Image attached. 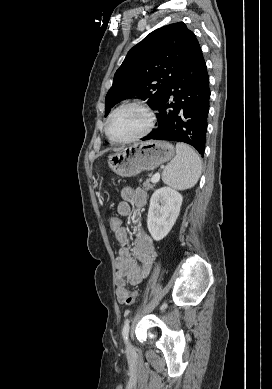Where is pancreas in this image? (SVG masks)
Instances as JSON below:
<instances>
[{"label":"pancreas","mask_w":272,"mask_h":389,"mask_svg":"<svg viewBox=\"0 0 272 389\" xmlns=\"http://www.w3.org/2000/svg\"><path fill=\"white\" fill-rule=\"evenodd\" d=\"M151 174H149V179L143 184V187H145V189L149 190V189H152L153 188V182H152V178H151Z\"/></svg>","instance_id":"1"}]
</instances>
